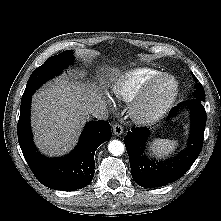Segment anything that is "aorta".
<instances>
[{
    "label": "aorta",
    "mask_w": 221,
    "mask_h": 221,
    "mask_svg": "<svg viewBox=\"0 0 221 221\" xmlns=\"http://www.w3.org/2000/svg\"><path fill=\"white\" fill-rule=\"evenodd\" d=\"M124 149H125L124 144L119 140H112L108 144V150L114 156L122 155Z\"/></svg>",
    "instance_id": "762f6f07"
}]
</instances>
